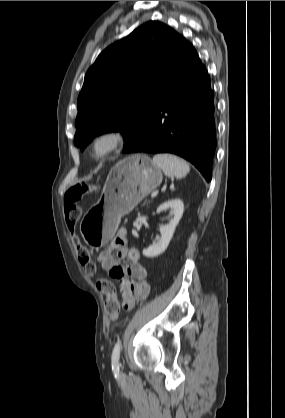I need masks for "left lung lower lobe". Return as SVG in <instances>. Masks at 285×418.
Instances as JSON below:
<instances>
[{
    "instance_id": "0a47b994",
    "label": "left lung lower lobe",
    "mask_w": 285,
    "mask_h": 418,
    "mask_svg": "<svg viewBox=\"0 0 285 418\" xmlns=\"http://www.w3.org/2000/svg\"><path fill=\"white\" fill-rule=\"evenodd\" d=\"M216 141L214 92L206 67L186 39L147 125L127 153H172L212 178Z\"/></svg>"
}]
</instances>
